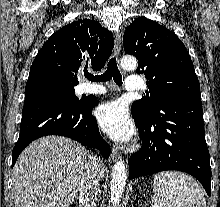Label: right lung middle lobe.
Instances as JSON below:
<instances>
[{"label": "right lung middle lobe", "mask_w": 220, "mask_h": 207, "mask_svg": "<svg viewBox=\"0 0 220 207\" xmlns=\"http://www.w3.org/2000/svg\"><path fill=\"white\" fill-rule=\"evenodd\" d=\"M40 81H44L47 82L49 84H52L54 86H59L60 88H62L66 94L68 96H70L75 102H81L83 101V99H78L75 95V90H74V86L75 84H69L60 80H56V79H44V80H40Z\"/></svg>", "instance_id": "right-lung-middle-lobe-1"}]
</instances>
